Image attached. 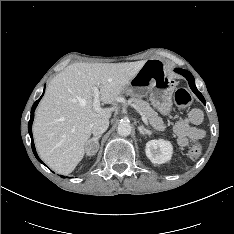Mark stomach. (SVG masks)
Wrapping results in <instances>:
<instances>
[{
    "label": "stomach",
    "instance_id": "0dacf381",
    "mask_svg": "<svg viewBox=\"0 0 234 234\" xmlns=\"http://www.w3.org/2000/svg\"><path fill=\"white\" fill-rule=\"evenodd\" d=\"M175 88L176 82L163 64L157 60H148L123 93L140 98L149 95L151 104L163 115H168L172 109Z\"/></svg>",
    "mask_w": 234,
    "mask_h": 234
}]
</instances>
